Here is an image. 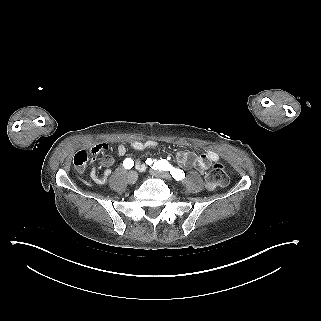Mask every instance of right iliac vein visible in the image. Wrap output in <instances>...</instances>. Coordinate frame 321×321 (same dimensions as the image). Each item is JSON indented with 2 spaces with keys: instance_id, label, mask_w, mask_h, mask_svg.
<instances>
[{
  "instance_id": "63e3f726",
  "label": "right iliac vein",
  "mask_w": 321,
  "mask_h": 321,
  "mask_svg": "<svg viewBox=\"0 0 321 321\" xmlns=\"http://www.w3.org/2000/svg\"><path fill=\"white\" fill-rule=\"evenodd\" d=\"M127 179L130 184H134L138 179V173L136 171L129 172Z\"/></svg>"
}]
</instances>
